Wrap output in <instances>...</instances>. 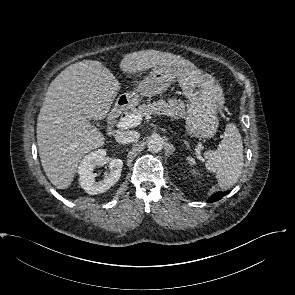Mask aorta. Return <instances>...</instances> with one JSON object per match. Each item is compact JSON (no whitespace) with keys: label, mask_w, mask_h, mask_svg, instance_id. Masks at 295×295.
Listing matches in <instances>:
<instances>
[{"label":"aorta","mask_w":295,"mask_h":295,"mask_svg":"<svg viewBox=\"0 0 295 295\" xmlns=\"http://www.w3.org/2000/svg\"><path fill=\"white\" fill-rule=\"evenodd\" d=\"M148 150L151 152H159L164 147V142L159 135H152L147 142Z\"/></svg>","instance_id":"762f6f07"}]
</instances>
